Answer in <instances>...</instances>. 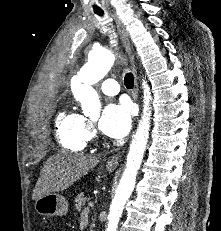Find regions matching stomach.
<instances>
[{
    "instance_id": "stomach-1",
    "label": "stomach",
    "mask_w": 221,
    "mask_h": 231,
    "mask_svg": "<svg viewBox=\"0 0 221 231\" xmlns=\"http://www.w3.org/2000/svg\"><path fill=\"white\" fill-rule=\"evenodd\" d=\"M113 168H108L112 172ZM35 211L44 216L65 215L68 212V201L60 194L50 193L38 198L34 204Z\"/></svg>"
}]
</instances>
